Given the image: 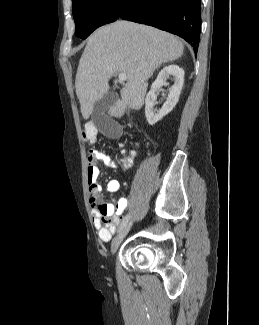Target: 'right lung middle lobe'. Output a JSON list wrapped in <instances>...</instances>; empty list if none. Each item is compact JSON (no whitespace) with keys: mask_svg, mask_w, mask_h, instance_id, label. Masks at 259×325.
Returning a JSON list of instances; mask_svg holds the SVG:
<instances>
[{"mask_svg":"<svg viewBox=\"0 0 259 325\" xmlns=\"http://www.w3.org/2000/svg\"><path fill=\"white\" fill-rule=\"evenodd\" d=\"M126 0H72L75 35L87 38L98 27L115 21Z\"/></svg>","mask_w":259,"mask_h":325,"instance_id":"right-lung-middle-lobe-1","label":"right lung middle lobe"}]
</instances>
